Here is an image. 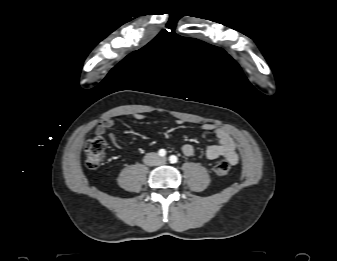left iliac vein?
<instances>
[{
	"label": "left iliac vein",
	"mask_w": 337,
	"mask_h": 261,
	"mask_svg": "<svg viewBox=\"0 0 337 261\" xmlns=\"http://www.w3.org/2000/svg\"><path fill=\"white\" fill-rule=\"evenodd\" d=\"M166 160H167L166 158H162V159H161L162 162H165Z\"/></svg>",
	"instance_id": "left-iliac-vein-1"
}]
</instances>
